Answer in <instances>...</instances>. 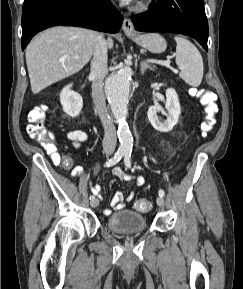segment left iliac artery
I'll return each instance as SVG.
<instances>
[{"label": "left iliac artery", "mask_w": 243, "mask_h": 289, "mask_svg": "<svg viewBox=\"0 0 243 289\" xmlns=\"http://www.w3.org/2000/svg\"><path fill=\"white\" fill-rule=\"evenodd\" d=\"M124 162H125V165L130 168L131 167V151H126L125 154H124ZM159 195L161 197H164L165 196V192L164 190L160 189L159 190Z\"/></svg>", "instance_id": "obj_1"}]
</instances>
